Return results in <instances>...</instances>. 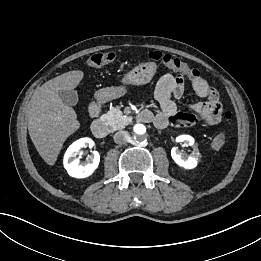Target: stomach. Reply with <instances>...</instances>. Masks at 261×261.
<instances>
[{"label": "stomach", "mask_w": 261, "mask_h": 261, "mask_svg": "<svg viewBox=\"0 0 261 261\" xmlns=\"http://www.w3.org/2000/svg\"><path fill=\"white\" fill-rule=\"evenodd\" d=\"M156 70L157 66L154 62L140 63L124 75L123 86L102 88L95 93V98L100 102L120 98L126 94V86H140L149 83Z\"/></svg>", "instance_id": "1"}]
</instances>
